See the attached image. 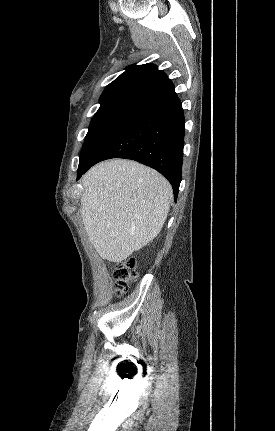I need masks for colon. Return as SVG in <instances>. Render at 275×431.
Returning a JSON list of instances; mask_svg holds the SVG:
<instances>
[{"label":"colon","mask_w":275,"mask_h":431,"mask_svg":"<svg viewBox=\"0 0 275 431\" xmlns=\"http://www.w3.org/2000/svg\"><path fill=\"white\" fill-rule=\"evenodd\" d=\"M113 275L115 293L120 297L127 292L130 283L134 281L137 276L134 258H128L123 263L117 264L114 267Z\"/></svg>","instance_id":"1"}]
</instances>
